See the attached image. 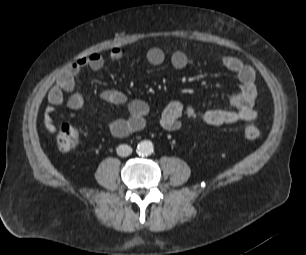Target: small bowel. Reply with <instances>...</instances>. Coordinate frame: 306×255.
Listing matches in <instances>:
<instances>
[{"instance_id":"small-bowel-1","label":"small bowel","mask_w":306,"mask_h":255,"mask_svg":"<svg viewBox=\"0 0 306 255\" xmlns=\"http://www.w3.org/2000/svg\"><path fill=\"white\" fill-rule=\"evenodd\" d=\"M109 56L112 60L119 61L123 57V51L119 47L111 49ZM147 61L155 66L161 65L166 60L165 52L159 47H152L146 53ZM105 57L101 53H92L81 57L65 67L56 77L54 85L49 89L47 99L49 106L44 112V127L49 132H54L56 126L53 113L56 106L64 102L73 110H79L84 105L83 96L74 92L75 79L83 69L100 71L105 65ZM221 64L235 74L241 83V89L229 96L231 109H203L192 106H184L179 101L170 102L158 116V123L168 131H178L182 128L183 118L200 119L212 126L233 124L240 121H253L257 117L254 104L258 95L255 84L256 74L254 69L244 64L239 58L231 55L219 57ZM171 66L175 69H183L188 64L185 52L176 50L169 57ZM68 96V97H67ZM101 99L110 104L125 106L127 117L112 120L108 124L109 131L116 137H123L141 130L146 123L149 114L147 103L140 99L129 100L125 93L116 89H106L100 94Z\"/></svg>"}]
</instances>
